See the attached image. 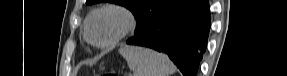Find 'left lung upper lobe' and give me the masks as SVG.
<instances>
[{
	"mask_svg": "<svg viewBox=\"0 0 287 76\" xmlns=\"http://www.w3.org/2000/svg\"><path fill=\"white\" fill-rule=\"evenodd\" d=\"M181 0H87L86 4L100 2L116 3L128 8L135 16L137 26L134 35L140 33L156 16L164 12L173 2Z\"/></svg>",
	"mask_w": 287,
	"mask_h": 76,
	"instance_id": "left-lung-upper-lobe-1",
	"label": "left lung upper lobe"
}]
</instances>
